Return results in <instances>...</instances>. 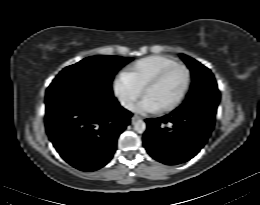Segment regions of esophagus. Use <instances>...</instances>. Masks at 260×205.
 Segmentation results:
<instances>
[{
  "label": "esophagus",
  "instance_id": "esophagus-1",
  "mask_svg": "<svg viewBox=\"0 0 260 205\" xmlns=\"http://www.w3.org/2000/svg\"><path fill=\"white\" fill-rule=\"evenodd\" d=\"M139 119H141V117L139 115L135 114L132 116L131 121H132V123H134L135 121H137Z\"/></svg>",
  "mask_w": 260,
  "mask_h": 205
}]
</instances>
